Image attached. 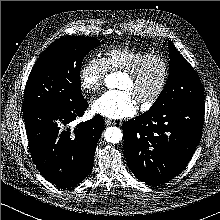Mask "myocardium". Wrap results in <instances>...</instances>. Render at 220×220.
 Returning a JSON list of instances; mask_svg holds the SVG:
<instances>
[{
  "instance_id": "myocardium-1",
  "label": "myocardium",
  "mask_w": 220,
  "mask_h": 220,
  "mask_svg": "<svg viewBox=\"0 0 220 220\" xmlns=\"http://www.w3.org/2000/svg\"><path fill=\"white\" fill-rule=\"evenodd\" d=\"M156 61L161 65L162 75L157 87L148 95H143L138 98L139 103L145 106L153 105L165 90L170 74V67L168 61L161 55L149 54L144 58L140 59L133 66L123 71V74L130 78L138 77L146 66L150 63Z\"/></svg>"
}]
</instances>
